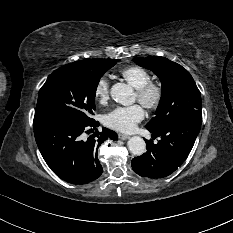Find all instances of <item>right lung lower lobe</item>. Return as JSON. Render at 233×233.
<instances>
[{"label": "right lung lower lobe", "instance_id": "right-lung-lower-lobe-1", "mask_svg": "<svg viewBox=\"0 0 233 233\" xmlns=\"http://www.w3.org/2000/svg\"><path fill=\"white\" fill-rule=\"evenodd\" d=\"M99 123L56 116L34 117V135L38 148L50 169L72 184H87L100 177L103 170L97 158L99 146L106 139L117 140L107 128L99 132ZM94 134L87 139L84 133ZM89 129V130H88Z\"/></svg>", "mask_w": 233, "mask_h": 233}]
</instances>
